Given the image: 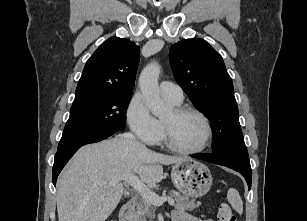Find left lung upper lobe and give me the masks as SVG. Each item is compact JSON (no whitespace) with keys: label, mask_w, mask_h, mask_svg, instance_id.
Wrapping results in <instances>:
<instances>
[{"label":"left lung upper lobe","mask_w":307,"mask_h":221,"mask_svg":"<svg viewBox=\"0 0 307 221\" xmlns=\"http://www.w3.org/2000/svg\"><path fill=\"white\" fill-rule=\"evenodd\" d=\"M169 60L175 80L213 126V154L249 161L232 79L221 55L204 39L193 38L173 44Z\"/></svg>","instance_id":"5c2ea615"}]
</instances>
